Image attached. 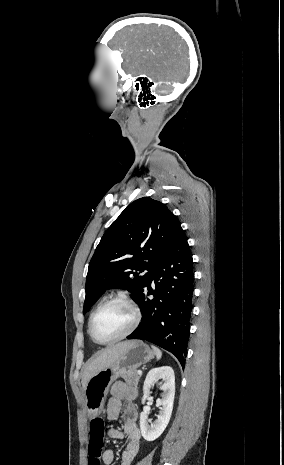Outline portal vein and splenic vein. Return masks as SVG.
<instances>
[{
	"instance_id": "1",
	"label": "portal vein and splenic vein",
	"mask_w": 284,
	"mask_h": 465,
	"mask_svg": "<svg viewBox=\"0 0 284 465\" xmlns=\"http://www.w3.org/2000/svg\"><path fill=\"white\" fill-rule=\"evenodd\" d=\"M138 375H142V371H137Z\"/></svg>"
}]
</instances>
